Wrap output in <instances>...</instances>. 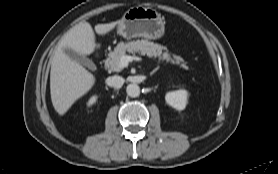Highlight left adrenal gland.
I'll return each instance as SVG.
<instances>
[{
  "label": "left adrenal gland",
  "instance_id": "1",
  "mask_svg": "<svg viewBox=\"0 0 278 174\" xmlns=\"http://www.w3.org/2000/svg\"><path fill=\"white\" fill-rule=\"evenodd\" d=\"M158 69H159V67L155 68V69L150 73V75H153L155 72L158 71Z\"/></svg>",
  "mask_w": 278,
  "mask_h": 174
}]
</instances>
